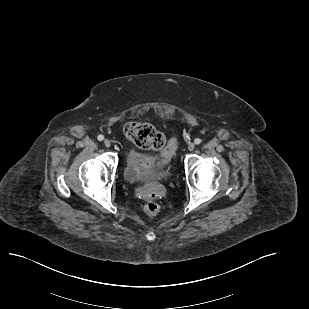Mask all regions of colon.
<instances>
[{
    "instance_id": "colon-1",
    "label": "colon",
    "mask_w": 309,
    "mask_h": 309,
    "mask_svg": "<svg viewBox=\"0 0 309 309\" xmlns=\"http://www.w3.org/2000/svg\"><path fill=\"white\" fill-rule=\"evenodd\" d=\"M125 135L138 147L142 149L163 151L164 156H168L173 149V145L166 146V141L162 133L147 123H128L125 126ZM144 211L149 216H155L159 213L160 206L155 201H149L144 205Z\"/></svg>"
}]
</instances>
